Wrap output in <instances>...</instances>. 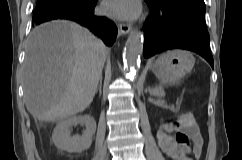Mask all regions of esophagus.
<instances>
[{
  "mask_svg": "<svg viewBox=\"0 0 242 160\" xmlns=\"http://www.w3.org/2000/svg\"><path fill=\"white\" fill-rule=\"evenodd\" d=\"M132 30V26L130 24L120 23L119 24V32L121 34H128Z\"/></svg>",
  "mask_w": 242,
  "mask_h": 160,
  "instance_id": "1",
  "label": "esophagus"
}]
</instances>
